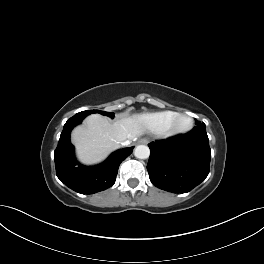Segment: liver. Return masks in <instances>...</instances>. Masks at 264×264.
<instances>
[{
  "mask_svg": "<svg viewBox=\"0 0 264 264\" xmlns=\"http://www.w3.org/2000/svg\"><path fill=\"white\" fill-rule=\"evenodd\" d=\"M140 116L125 117L111 123L106 117L92 114L84 125L77 126L71 134L79 160L85 164L102 161L127 139L134 140L144 134Z\"/></svg>",
  "mask_w": 264,
  "mask_h": 264,
  "instance_id": "6515ba94",
  "label": "liver"
}]
</instances>
